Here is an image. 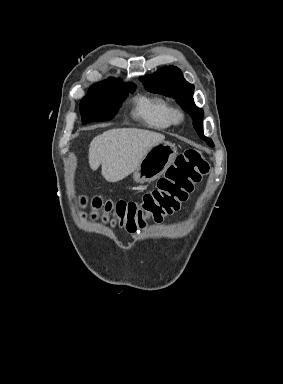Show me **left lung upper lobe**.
<instances>
[{
	"label": "left lung upper lobe",
	"instance_id": "obj_1",
	"mask_svg": "<svg viewBox=\"0 0 283 384\" xmlns=\"http://www.w3.org/2000/svg\"><path fill=\"white\" fill-rule=\"evenodd\" d=\"M140 80L148 91L173 97L191 115L193 126L199 137L206 141L209 146H214L212 140L203 135L202 119L204 112L194 103V86L185 81L177 67H163L150 76L140 78Z\"/></svg>",
	"mask_w": 283,
	"mask_h": 384
}]
</instances>
